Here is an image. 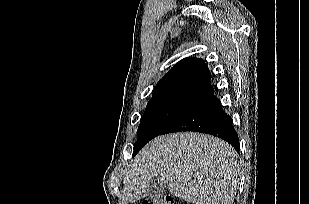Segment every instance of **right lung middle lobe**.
Instances as JSON below:
<instances>
[{
    "label": "right lung middle lobe",
    "instance_id": "1",
    "mask_svg": "<svg viewBox=\"0 0 309 204\" xmlns=\"http://www.w3.org/2000/svg\"><path fill=\"white\" fill-rule=\"evenodd\" d=\"M190 102L149 103L145 109L137 131L138 140L134 144L133 156L151 139L160 135L171 123L195 107Z\"/></svg>",
    "mask_w": 309,
    "mask_h": 204
}]
</instances>
